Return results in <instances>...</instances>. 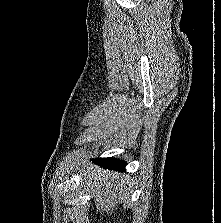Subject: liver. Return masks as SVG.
Masks as SVG:
<instances>
[{
	"label": "liver",
	"instance_id": "obj_1",
	"mask_svg": "<svg viewBox=\"0 0 221 223\" xmlns=\"http://www.w3.org/2000/svg\"><path fill=\"white\" fill-rule=\"evenodd\" d=\"M83 180L94 196L97 211H101L103 214H112L118 204L129 197L130 179L125 174L91 166L88 167Z\"/></svg>",
	"mask_w": 221,
	"mask_h": 223
}]
</instances>
